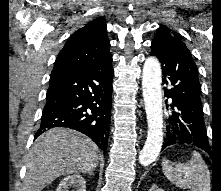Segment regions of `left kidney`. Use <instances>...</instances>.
Segmentation results:
<instances>
[{"instance_id":"5707ae66","label":"left kidney","mask_w":221,"mask_h":191,"mask_svg":"<svg viewBox=\"0 0 221 191\" xmlns=\"http://www.w3.org/2000/svg\"><path fill=\"white\" fill-rule=\"evenodd\" d=\"M149 191H165V190H163L162 188H159V187L156 186V185H153V186L149 189Z\"/></svg>"}]
</instances>
